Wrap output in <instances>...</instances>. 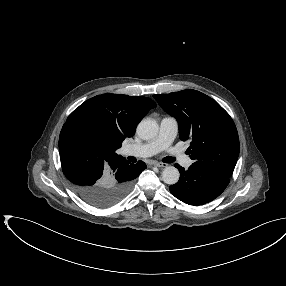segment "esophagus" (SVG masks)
Segmentation results:
<instances>
[{"label":"esophagus","mask_w":286,"mask_h":286,"mask_svg":"<svg viewBox=\"0 0 286 286\" xmlns=\"http://www.w3.org/2000/svg\"><path fill=\"white\" fill-rule=\"evenodd\" d=\"M153 165L160 168H164L167 166V164L161 162H153Z\"/></svg>","instance_id":"obj_1"}]
</instances>
